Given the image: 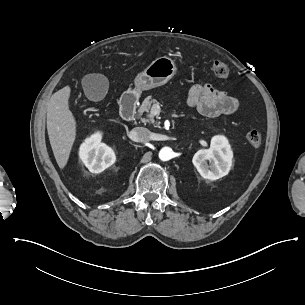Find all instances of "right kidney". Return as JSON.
<instances>
[{
	"instance_id": "ca27d5eb",
	"label": "right kidney",
	"mask_w": 305,
	"mask_h": 305,
	"mask_svg": "<svg viewBox=\"0 0 305 305\" xmlns=\"http://www.w3.org/2000/svg\"><path fill=\"white\" fill-rule=\"evenodd\" d=\"M100 141L101 134L95 133L86 138L79 149L80 159L92 173H100L116 161L113 149Z\"/></svg>"
}]
</instances>
